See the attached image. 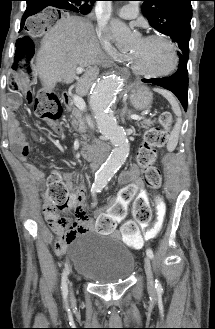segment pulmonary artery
<instances>
[{
  "instance_id": "e3ab8cb5",
  "label": "pulmonary artery",
  "mask_w": 215,
  "mask_h": 329,
  "mask_svg": "<svg viewBox=\"0 0 215 329\" xmlns=\"http://www.w3.org/2000/svg\"><path fill=\"white\" fill-rule=\"evenodd\" d=\"M117 12L121 18L134 19L139 14V7L136 3L131 2L121 6Z\"/></svg>"
}]
</instances>
